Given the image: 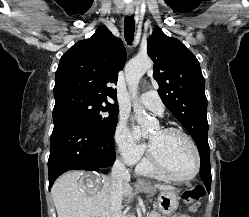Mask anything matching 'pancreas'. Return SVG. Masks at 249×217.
Here are the masks:
<instances>
[{
	"label": "pancreas",
	"instance_id": "obj_1",
	"mask_svg": "<svg viewBox=\"0 0 249 217\" xmlns=\"http://www.w3.org/2000/svg\"><path fill=\"white\" fill-rule=\"evenodd\" d=\"M147 217H164V216H161V214L156 211H152Z\"/></svg>",
	"mask_w": 249,
	"mask_h": 217
}]
</instances>
